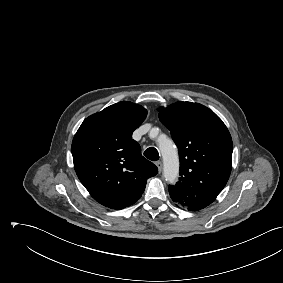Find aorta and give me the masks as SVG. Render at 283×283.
Listing matches in <instances>:
<instances>
[{
	"mask_svg": "<svg viewBox=\"0 0 283 283\" xmlns=\"http://www.w3.org/2000/svg\"><path fill=\"white\" fill-rule=\"evenodd\" d=\"M159 149L164 162V177L169 183H174L179 175V158L176 146L170 139L165 138L159 143Z\"/></svg>",
	"mask_w": 283,
	"mask_h": 283,
	"instance_id": "aorta-1",
	"label": "aorta"
}]
</instances>
